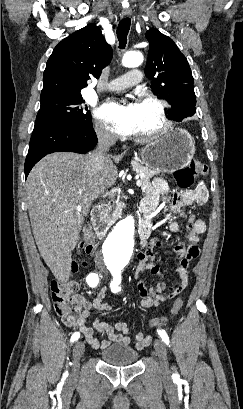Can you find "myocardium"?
Returning <instances> with one entry per match:
<instances>
[{
	"instance_id": "obj_1",
	"label": "myocardium",
	"mask_w": 243,
	"mask_h": 409,
	"mask_svg": "<svg viewBox=\"0 0 243 409\" xmlns=\"http://www.w3.org/2000/svg\"><path fill=\"white\" fill-rule=\"evenodd\" d=\"M139 102H149L157 108L160 124L151 131L135 134V137L142 140H149L165 133L171 126L167 103L156 94L148 91L139 94Z\"/></svg>"
}]
</instances>
